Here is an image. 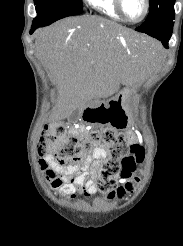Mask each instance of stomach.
<instances>
[{
  "label": "stomach",
  "instance_id": "1",
  "mask_svg": "<svg viewBox=\"0 0 183 246\" xmlns=\"http://www.w3.org/2000/svg\"><path fill=\"white\" fill-rule=\"evenodd\" d=\"M130 88H125L115 97L108 100L105 106L100 109L103 116L102 123H106L113 128H126L130 124L126 102L128 100Z\"/></svg>",
  "mask_w": 183,
  "mask_h": 246
}]
</instances>
